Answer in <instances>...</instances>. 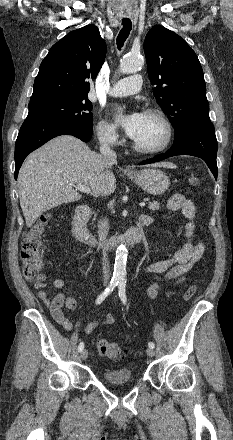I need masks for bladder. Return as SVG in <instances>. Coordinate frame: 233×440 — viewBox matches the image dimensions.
Listing matches in <instances>:
<instances>
[{"mask_svg":"<svg viewBox=\"0 0 233 440\" xmlns=\"http://www.w3.org/2000/svg\"><path fill=\"white\" fill-rule=\"evenodd\" d=\"M104 379L112 385H123L132 380V373L128 368L106 370L103 373Z\"/></svg>","mask_w":233,"mask_h":440,"instance_id":"31cf9c89","label":"bladder"}]
</instances>
